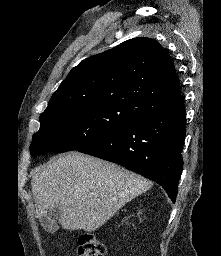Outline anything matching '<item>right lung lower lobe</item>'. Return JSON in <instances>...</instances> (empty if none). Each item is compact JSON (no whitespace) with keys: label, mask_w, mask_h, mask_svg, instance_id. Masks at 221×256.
<instances>
[{"label":"right lung lower lobe","mask_w":221,"mask_h":256,"mask_svg":"<svg viewBox=\"0 0 221 256\" xmlns=\"http://www.w3.org/2000/svg\"><path fill=\"white\" fill-rule=\"evenodd\" d=\"M185 133L182 103L138 117L77 151L117 163L157 182L175 202Z\"/></svg>","instance_id":"98d812e1"}]
</instances>
